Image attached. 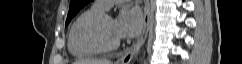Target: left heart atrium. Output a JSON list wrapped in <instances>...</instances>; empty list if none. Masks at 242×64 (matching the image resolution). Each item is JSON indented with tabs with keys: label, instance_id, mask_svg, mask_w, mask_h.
<instances>
[{
	"label": "left heart atrium",
	"instance_id": "1",
	"mask_svg": "<svg viewBox=\"0 0 242 64\" xmlns=\"http://www.w3.org/2000/svg\"><path fill=\"white\" fill-rule=\"evenodd\" d=\"M143 27L142 14L138 9L122 10L115 21V34L118 39L133 38L137 36Z\"/></svg>",
	"mask_w": 242,
	"mask_h": 64
}]
</instances>
